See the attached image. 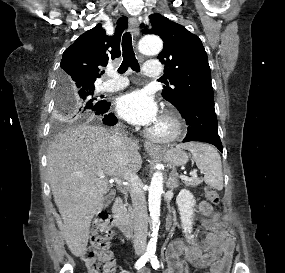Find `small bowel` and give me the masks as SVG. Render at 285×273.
Instances as JSON below:
<instances>
[{
	"label": "small bowel",
	"instance_id": "obj_1",
	"mask_svg": "<svg viewBox=\"0 0 285 273\" xmlns=\"http://www.w3.org/2000/svg\"><path fill=\"white\" fill-rule=\"evenodd\" d=\"M198 211L204 216L201 225L208 231L202 243L186 244L184 241L173 242L167 253L168 268L166 273H183L184 266L180 258L184 256L199 269L210 268L211 273H227L230 266L234 241L226 235L225 225L218 215H214L211 205L206 201L198 204ZM140 273H150L143 269Z\"/></svg>",
	"mask_w": 285,
	"mask_h": 273
}]
</instances>
